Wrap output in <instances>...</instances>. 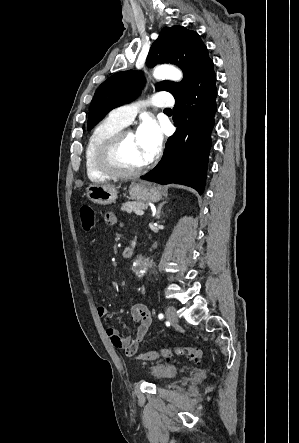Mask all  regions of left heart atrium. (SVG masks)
I'll use <instances>...</instances> for the list:
<instances>
[{"label": "left heart atrium", "mask_w": 299, "mask_h": 443, "mask_svg": "<svg viewBox=\"0 0 299 443\" xmlns=\"http://www.w3.org/2000/svg\"><path fill=\"white\" fill-rule=\"evenodd\" d=\"M137 139L143 150L146 163L158 154L162 144V132L158 123L152 118L143 120L137 131Z\"/></svg>", "instance_id": "left-heart-atrium-1"}]
</instances>
